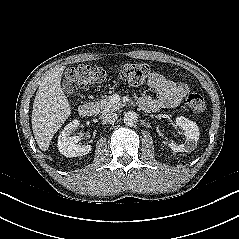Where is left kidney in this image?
Segmentation results:
<instances>
[{"instance_id":"1","label":"left kidney","mask_w":239,"mask_h":239,"mask_svg":"<svg viewBox=\"0 0 239 239\" xmlns=\"http://www.w3.org/2000/svg\"><path fill=\"white\" fill-rule=\"evenodd\" d=\"M176 124L184 131V144L178 145L173 142L168 143L167 141H164L163 143L168 145V147L174 152H192L197 146L200 134L197 124L182 116L176 118Z\"/></svg>"}]
</instances>
